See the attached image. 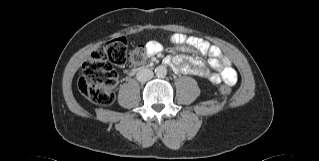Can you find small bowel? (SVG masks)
Instances as JSON below:
<instances>
[{
    "label": "small bowel",
    "mask_w": 319,
    "mask_h": 161,
    "mask_svg": "<svg viewBox=\"0 0 319 161\" xmlns=\"http://www.w3.org/2000/svg\"><path fill=\"white\" fill-rule=\"evenodd\" d=\"M170 40L180 48L181 51L195 50L203 55L209 56V66L215 71H219V73L210 71L206 68L201 59L184 53L178 54L171 59V65L175 71L206 78L215 84H219L222 81L227 84H233L236 81L237 73L235 69L232 67L231 62L222 56V52L217 46L211 45L202 38L188 36L178 32L172 33L170 35ZM156 45H159L160 50L153 54L152 49ZM146 50L150 55L161 56L162 44L156 40L149 41L146 44Z\"/></svg>",
    "instance_id": "c3829d8e"
}]
</instances>
